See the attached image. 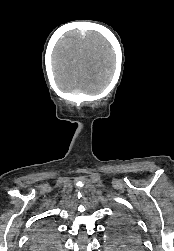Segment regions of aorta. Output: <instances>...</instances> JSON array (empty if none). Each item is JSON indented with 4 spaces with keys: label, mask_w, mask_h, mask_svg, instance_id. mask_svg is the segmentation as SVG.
I'll return each mask as SVG.
<instances>
[{
    "label": "aorta",
    "mask_w": 174,
    "mask_h": 251,
    "mask_svg": "<svg viewBox=\"0 0 174 251\" xmlns=\"http://www.w3.org/2000/svg\"><path fill=\"white\" fill-rule=\"evenodd\" d=\"M110 239H111V236H110ZM107 249H108L109 251H119V250H118V247L115 246V245H113V244L110 242V240H109Z\"/></svg>",
    "instance_id": "obj_1"
}]
</instances>
